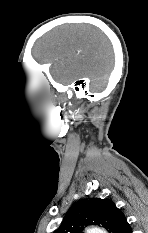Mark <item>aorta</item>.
I'll return each instance as SVG.
<instances>
[{"label": "aorta", "instance_id": "aorta-1", "mask_svg": "<svg viewBox=\"0 0 148 233\" xmlns=\"http://www.w3.org/2000/svg\"><path fill=\"white\" fill-rule=\"evenodd\" d=\"M85 233H107L104 229L92 226L86 229Z\"/></svg>", "mask_w": 148, "mask_h": 233}]
</instances>
